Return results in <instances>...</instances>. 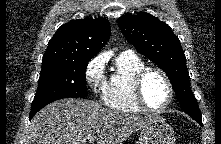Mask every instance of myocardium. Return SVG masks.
Masks as SVG:
<instances>
[{"label": "myocardium", "instance_id": "1", "mask_svg": "<svg viewBox=\"0 0 221 144\" xmlns=\"http://www.w3.org/2000/svg\"><path fill=\"white\" fill-rule=\"evenodd\" d=\"M151 72H156L158 74H160L164 81L166 82V85L168 87V98L166 100V102L158 107V108H153L150 107L144 97V91H143V86H144V81L147 77V75ZM133 94H134V98L137 102V104L145 111L148 112H153V113H158V112H162L163 110H165L172 102L173 100V96H174V88H173V84L169 78V76L167 75V73L156 66H144L143 68H141L140 70H138L136 72V74L134 75L133 78Z\"/></svg>", "mask_w": 221, "mask_h": 144}]
</instances>
